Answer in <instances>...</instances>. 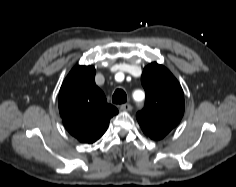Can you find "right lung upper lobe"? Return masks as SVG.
I'll use <instances>...</instances> for the list:
<instances>
[{"mask_svg":"<svg viewBox=\"0 0 236 187\" xmlns=\"http://www.w3.org/2000/svg\"><path fill=\"white\" fill-rule=\"evenodd\" d=\"M95 68L77 66L65 78L59 92V112L65 128L82 143H93L107 130L118 110L108 104L96 86Z\"/></svg>","mask_w":236,"mask_h":187,"instance_id":"1","label":"right lung upper lobe"}]
</instances>
